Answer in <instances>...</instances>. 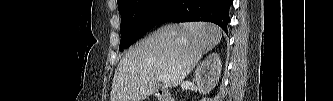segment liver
Segmentation results:
<instances>
[{"mask_svg":"<svg viewBox=\"0 0 333 101\" xmlns=\"http://www.w3.org/2000/svg\"><path fill=\"white\" fill-rule=\"evenodd\" d=\"M222 38L207 22L169 24L130 49L120 60L112 83L111 101H143L160 86V75L177 87Z\"/></svg>","mask_w":333,"mask_h":101,"instance_id":"1","label":"liver"}]
</instances>
